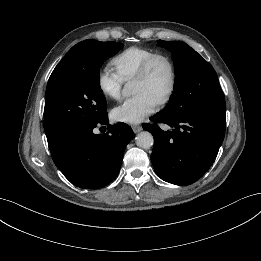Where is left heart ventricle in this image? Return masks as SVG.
I'll return each instance as SVG.
<instances>
[{
  "label": "left heart ventricle",
  "instance_id": "obj_1",
  "mask_svg": "<svg viewBox=\"0 0 261 261\" xmlns=\"http://www.w3.org/2000/svg\"><path fill=\"white\" fill-rule=\"evenodd\" d=\"M170 82V70L167 63L163 60L158 61L150 74L145 80H134L133 94L146 93L154 100L159 98L166 92Z\"/></svg>",
  "mask_w": 261,
  "mask_h": 261
}]
</instances>
